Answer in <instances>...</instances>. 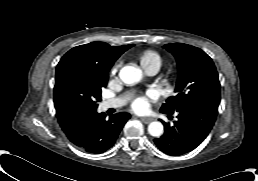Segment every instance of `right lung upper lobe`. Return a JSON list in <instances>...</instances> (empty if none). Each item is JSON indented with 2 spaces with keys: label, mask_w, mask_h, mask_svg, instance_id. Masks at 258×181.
I'll use <instances>...</instances> for the list:
<instances>
[{
  "label": "right lung upper lobe",
  "mask_w": 258,
  "mask_h": 181,
  "mask_svg": "<svg viewBox=\"0 0 258 181\" xmlns=\"http://www.w3.org/2000/svg\"><path fill=\"white\" fill-rule=\"evenodd\" d=\"M131 45L110 46L105 42H92L80 45L68 51L62 59L77 57L91 70L101 76H108V72L118 57Z\"/></svg>",
  "instance_id": "obj_1"
}]
</instances>
